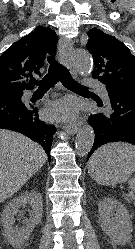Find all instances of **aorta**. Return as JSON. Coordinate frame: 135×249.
Segmentation results:
<instances>
[{
  "instance_id": "762f6f07",
  "label": "aorta",
  "mask_w": 135,
  "mask_h": 249,
  "mask_svg": "<svg viewBox=\"0 0 135 249\" xmlns=\"http://www.w3.org/2000/svg\"><path fill=\"white\" fill-rule=\"evenodd\" d=\"M73 63L77 70L88 75L92 71L93 63L90 55L83 49H77L73 52ZM95 139L94 130L90 125H84L77 134L75 141L76 153L78 156H86L93 146Z\"/></svg>"
}]
</instances>
